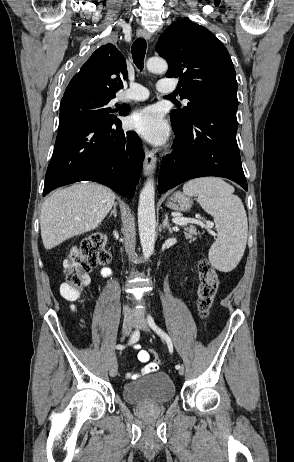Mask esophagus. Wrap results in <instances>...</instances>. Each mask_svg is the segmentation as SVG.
Here are the masks:
<instances>
[{"mask_svg":"<svg viewBox=\"0 0 294 462\" xmlns=\"http://www.w3.org/2000/svg\"><path fill=\"white\" fill-rule=\"evenodd\" d=\"M137 37L150 40L151 34L146 30L139 29L137 31ZM144 152H145V159H144V166H143L144 174L150 175L155 170L157 158H156L155 153L149 150L147 147H145Z\"/></svg>","mask_w":294,"mask_h":462,"instance_id":"obj_1","label":"esophagus"}]
</instances>
